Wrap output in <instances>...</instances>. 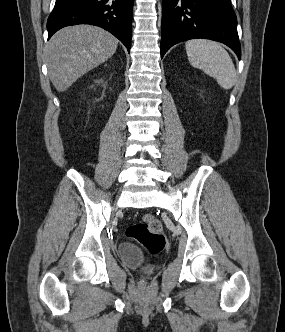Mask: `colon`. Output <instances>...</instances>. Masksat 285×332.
<instances>
[{
	"label": "colon",
	"instance_id": "obj_1",
	"mask_svg": "<svg viewBox=\"0 0 285 332\" xmlns=\"http://www.w3.org/2000/svg\"><path fill=\"white\" fill-rule=\"evenodd\" d=\"M126 236L139 243L150 254L160 253L166 246L162 226L151 214L144 215L141 222L128 226Z\"/></svg>",
	"mask_w": 285,
	"mask_h": 332
}]
</instances>
